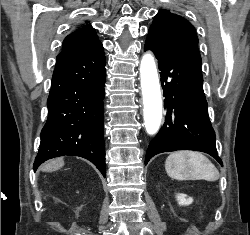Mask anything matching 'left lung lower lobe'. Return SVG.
Instances as JSON below:
<instances>
[{"label": "left lung lower lobe", "instance_id": "left-lung-lower-lobe-1", "mask_svg": "<svg viewBox=\"0 0 250 235\" xmlns=\"http://www.w3.org/2000/svg\"><path fill=\"white\" fill-rule=\"evenodd\" d=\"M148 49L158 60L167 113L147 149L145 164L162 152L195 150L208 153L223 165L208 117L198 46H164L147 38L144 50Z\"/></svg>", "mask_w": 250, "mask_h": 235}]
</instances>
